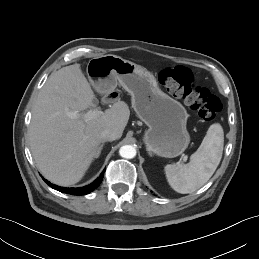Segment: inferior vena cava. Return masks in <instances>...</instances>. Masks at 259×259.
<instances>
[{"label":"inferior vena cava","instance_id":"1","mask_svg":"<svg viewBox=\"0 0 259 259\" xmlns=\"http://www.w3.org/2000/svg\"><path fill=\"white\" fill-rule=\"evenodd\" d=\"M102 141H114L118 139V134L116 131L111 129H105L101 133Z\"/></svg>","mask_w":259,"mask_h":259}]
</instances>
